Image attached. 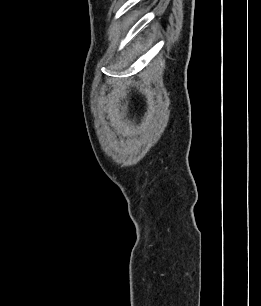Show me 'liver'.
Returning a JSON list of instances; mask_svg holds the SVG:
<instances>
[{"mask_svg": "<svg viewBox=\"0 0 261 306\" xmlns=\"http://www.w3.org/2000/svg\"><path fill=\"white\" fill-rule=\"evenodd\" d=\"M117 111H118V110H117ZM111 123L114 125V120H112Z\"/></svg>", "mask_w": 261, "mask_h": 306, "instance_id": "1", "label": "liver"}]
</instances>
